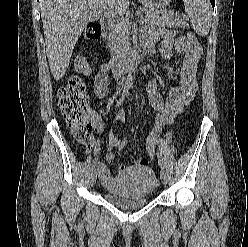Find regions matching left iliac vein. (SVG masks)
Masks as SVG:
<instances>
[{
	"mask_svg": "<svg viewBox=\"0 0 248 247\" xmlns=\"http://www.w3.org/2000/svg\"><path fill=\"white\" fill-rule=\"evenodd\" d=\"M160 179L161 181L166 184L167 183V180H168V175H167V172L165 169H162L161 172H160Z\"/></svg>",
	"mask_w": 248,
	"mask_h": 247,
	"instance_id": "4c4485c4",
	"label": "left iliac vein"
}]
</instances>
